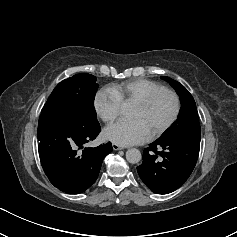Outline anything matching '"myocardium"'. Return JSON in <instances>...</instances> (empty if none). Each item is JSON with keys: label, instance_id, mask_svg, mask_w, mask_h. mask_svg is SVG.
<instances>
[{"label": "myocardium", "instance_id": "1", "mask_svg": "<svg viewBox=\"0 0 237 237\" xmlns=\"http://www.w3.org/2000/svg\"><path fill=\"white\" fill-rule=\"evenodd\" d=\"M164 94H168V95H170L173 98L174 104H175L174 112H173L172 116L169 118L168 121H166L163 125L158 127L153 133L150 134V137H149L150 139H155V138L159 137L160 135H162L178 119L179 114H180V110H181L180 98H179L178 94L174 90L163 88V89H160L158 91H155V92L149 94L145 98H143V99H141V100H139V101L134 103V106H137V107H139L142 110H147V109H149L151 107V105L160 96H162Z\"/></svg>", "mask_w": 237, "mask_h": 237}]
</instances>
